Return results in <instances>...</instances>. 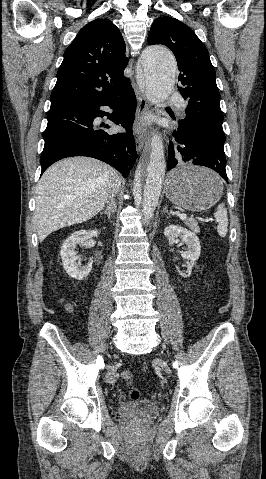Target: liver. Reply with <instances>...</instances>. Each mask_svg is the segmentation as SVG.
<instances>
[{
  "label": "liver",
  "mask_w": 266,
  "mask_h": 479,
  "mask_svg": "<svg viewBox=\"0 0 266 479\" xmlns=\"http://www.w3.org/2000/svg\"><path fill=\"white\" fill-rule=\"evenodd\" d=\"M117 173L90 157H72L49 167L36 189L38 239L97 215L107 202Z\"/></svg>",
  "instance_id": "obj_1"
}]
</instances>
